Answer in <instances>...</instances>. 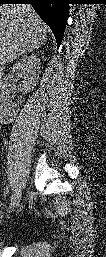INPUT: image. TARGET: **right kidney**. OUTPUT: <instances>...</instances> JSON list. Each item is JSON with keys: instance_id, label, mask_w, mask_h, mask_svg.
I'll list each match as a JSON object with an SVG mask.
<instances>
[{"instance_id": "right-kidney-1", "label": "right kidney", "mask_w": 106, "mask_h": 257, "mask_svg": "<svg viewBox=\"0 0 106 257\" xmlns=\"http://www.w3.org/2000/svg\"><path fill=\"white\" fill-rule=\"evenodd\" d=\"M39 69L40 59L34 55L26 56L13 65L11 73L4 76L0 85V107L2 110L4 107V110H7L10 113L8 109L16 106L12 103L10 97V83L13 81L21 80V83L18 86V90H20L22 94H26L30 92V90L36 85Z\"/></svg>"}]
</instances>
